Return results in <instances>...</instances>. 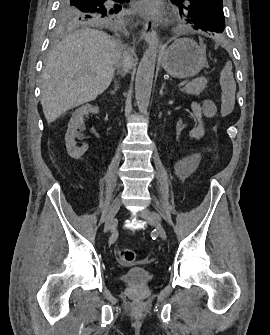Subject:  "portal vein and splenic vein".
Wrapping results in <instances>:
<instances>
[{
	"instance_id": "obj_1",
	"label": "portal vein and splenic vein",
	"mask_w": 270,
	"mask_h": 335,
	"mask_svg": "<svg viewBox=\"0 0 270 335\" xmlns=\"http://www.w3.org/2000/svg\"><path fill=\"white\" fill-rule=\"evenodd\" d=\"M190 78H192V77H190ZM190 78H189V79H190ZM186 84H188V80H182V81H179V83H178V87H179V86L184 87ZM175 88H177V87H175Z\"/></svg>"
}]
</instances>
